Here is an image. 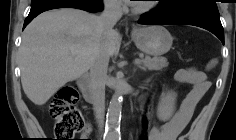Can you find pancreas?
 Segmentation results:
<instances>
[{
  "instance_id": "obj_1",
  "label": "pancreas",
  "mask_w": 236,
  "mask_h": 140,
  "mask_svg": "<svg viewBox=\"0 0 236 140\" xmlns=\"http://www.w3.org/2000/svg\"><path fill=\"white\" fill-rule=\"evenodd\" d=\"M141 65L144 68L149 70H162L168 66L167 59L165 57H149L145 56V58L141 61Z\"/></svg>"
}]
</instances>
